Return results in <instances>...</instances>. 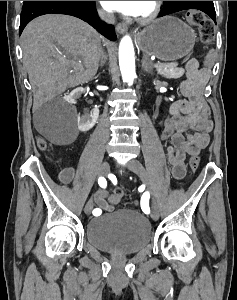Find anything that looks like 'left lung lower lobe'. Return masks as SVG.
<instances>
[{
  "mask_svg": "<svg viewBox=\"0 0 237 300\" xmlns=\"http://www.w3.org/2000/svg\"><path fill=\"white\" fill-rule=\"evenodd\" d=\"M188 9H197L203 11L208 16L212 18V20L216 24V13L213 1H181L176 2L166 8L160 16H165L174 12H178L181 10H188Z\"/></svg>",
  "mask_w": 237,
  "mask_h": 300,
  "instance_id": "1",
  "label": "left lung lower lobe"
}]
</instances>
